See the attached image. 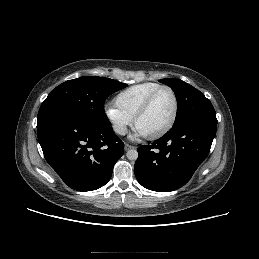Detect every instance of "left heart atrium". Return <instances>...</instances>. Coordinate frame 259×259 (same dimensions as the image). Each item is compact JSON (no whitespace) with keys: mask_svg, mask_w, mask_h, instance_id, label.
<instances>
[{"mask_svg":"<svg viewBox=\"0 0 259 259\" xmlns=\"http://www.w3.org/2000/svg\"><path fill=\"white\" fill-rule=\"evenodd\" d=\"M145 136L146 135L142 131H140L139 129L136 128V130H135L134 134L131 136V138L138 139L140 137H145Z\"/></svg>","mask_w":259,"mask_h":259,"instance_id":"1","label":"left heart atrium"}]
</instances>
